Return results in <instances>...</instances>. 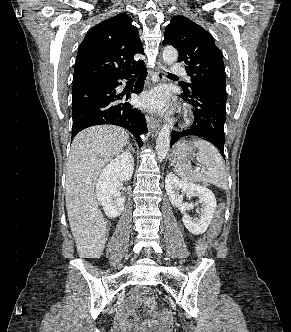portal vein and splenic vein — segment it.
I'll use <instances>...</instances> for the list:
<instances>
[{"mask_svg":"<svg viewBox=\"0 0 291 332\" xmlns=\"http://www.w3.org/2000/svg\"><path fill=\"white\" fill-rule=\"evenodd\" d=\"M198 170H201L202 172H205V168H198Z\"/></svg>","mask_w":291,"mask_h":332,"instance_id":"18ae733b","label":"portal vein and splenic vein"}]
</instances>
